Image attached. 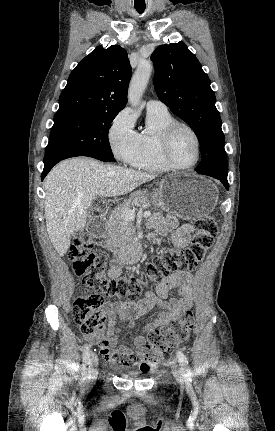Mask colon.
Wrapping results in <instances>:
<instances>
[{
  "label": "colon",
  "mask_w": 275,
  "mask_h": 431,
  "mask_svg": "<svg viewBox=\"0 0 275 431\" xmlns=\"http://www.w3.org/2000/svg\"><path fill=\"white\" fill-rule=\"evenodd\" d=\"M195 233L190 246L183 249L167 248L148 262L143 271L111 278L106 274L107 260L104 254L96 252L95 239L90 233H81L73 240L70 257L77 275L95 290L94 294L78 297L72 307L73 320L82 333L93 336L105 327V298L137 297L144 286L161 282L176 272L194 270L212 246L217 234L216 218L203 216L195 221ZM194 327V313L186 310L181 317L163 328L147 333V345L141 357L136 358L142 371L155 366L162 355L172 347L185 341Z\"/></svg>",
  "instance_id": "1"
}]
</instances>
